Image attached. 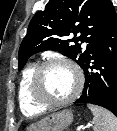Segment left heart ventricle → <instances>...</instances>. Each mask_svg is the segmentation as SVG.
I'll return each mask as SVG.
<instances>
[{
    "label": "left heart ventricle",
    "mask_w": 117,
    "mask_h": 131,
    "mask_svg": "<svg viewBox=\"0 0 117 131\" xmlns=\"http://www.w3.org/2000/svg\"><path fill=\"white\" fill-rule=\"evenodd\" d=\"M76 75L72 69L63 65L52 66L45 70L40 81L41 94L53 101L69 97L75 90Z\"/></svg>",
    "instance_id": "1"
}]
</instances>
